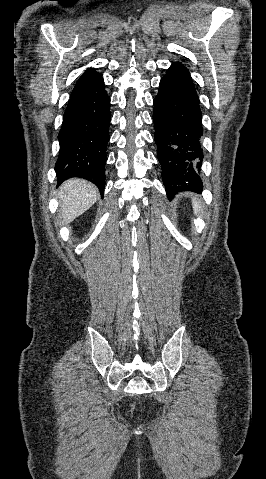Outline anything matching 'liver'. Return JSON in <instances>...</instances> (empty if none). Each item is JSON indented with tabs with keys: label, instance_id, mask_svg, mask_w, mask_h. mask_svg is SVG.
<instances>
[{
	"label": "liver",
	"instance_id": "obj_1",
	"mask_svg": "<svg viewBox=\"0 0 266 479\" xmlns=\"http://www.w3.org/2000/svg\"><path fill=\"white\" fill-rule=\"evenodd\" d=\"M97 188L83 179H70L59 188L60 224L67 225L97 201Z\"/></svg>",
	"mask_w": 266,
	"mask_h": 479
}]
</instances>
